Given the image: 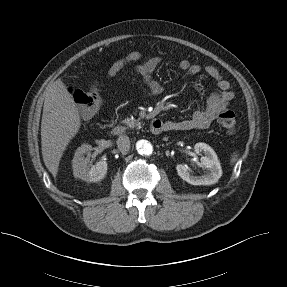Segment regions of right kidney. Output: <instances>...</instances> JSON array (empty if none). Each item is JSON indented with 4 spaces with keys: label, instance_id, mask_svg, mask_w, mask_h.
I'll return each mask as SVG.
<instances>
[{
    "label": "right kidney",
    "instance_id": "ca27d5eb",
    "mask_svg": "<svg viewBox=\"0 0 287 287\" xmlns=\"http://www.w3.org/2000/svg\"><path fill=\"white\" fill-rule=\"evenodd\" d=\"M92 146L83 144L79 147L72 160L73 175L75 178L88 182H97L103 179L107 173V162L100 160L96 165L89 168ZM87 155V156H85Z\"/></svg>",
    "mask_w": 287,
    "mask_h": 287
}]
</instances>
